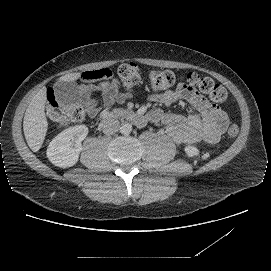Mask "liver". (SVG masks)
<instances>
[{
    "instance_id": "6515ba94",
    "label": "liver",
    "mask_w": 271,
    "mask_h": 271,
    "mask_svg": "<svg viewBox=\"0 0 271 271\" xmlns=\"http://www.w3.org/2000/svg\"><path fill=\"white\" fill-rule=\"evenodd\" d=\"M80 73H70L59 78L60 82L75 81ZM46 88H41L29 103L23 120V131L29 148L39 151L45 140L48 122L45 116Z\"/></svg>"
}]
</instances>
